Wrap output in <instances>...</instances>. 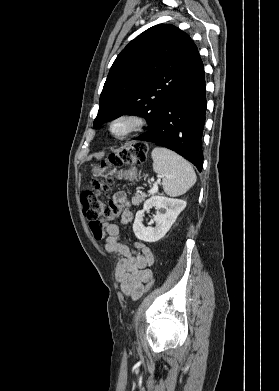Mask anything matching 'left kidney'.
Returning <instances> with one entry per match:
<instances>
[{
  "label": "left kidney",
  "mask_w": 279,
  "mask_h": 391,
  "mask_svg": "<svg viewBox=\"0 0 279 391\" xmlns=\"http://www.w3.org/2000/svg\"><path fill=\"white\" fill-rule=\"evenodd\" d=\"M156 207L157 213L154 216L156 223L155 227H145L143 225L144 212ZM186 207V201L176 198H168L164 196H152L143 206V210L138 211L135 216L133 231L135 236L145 242H156L163 238L169 231L178 215ZM165 210L161 212L159 210Z\"/></svg>",
  "instance_id": "1"
}]
</instances>
